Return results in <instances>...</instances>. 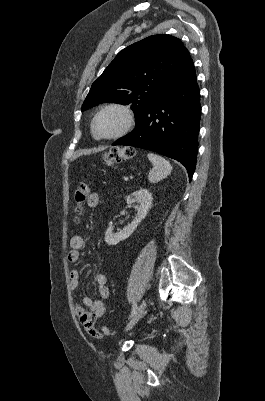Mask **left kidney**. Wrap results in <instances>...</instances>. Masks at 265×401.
<instances>
[{
	"label": "left kidney",
	"mask_w": 265,
	"mask_h": 401,
	"mask_svg": "<svg viewBox=\"0 0 265 401\" xmlns=\"http://www.w3.org/2000/svg\"><path fill=\"white\" fill-rule=\"evenodd\" d=\"M132 203H138V205H135L134 207L137 211L136 219H133L130 225L124 227L123 231H119V233H113V223L110 221L105 233V241L107 245H117V243L125 241V239H128V237L132 235L142 219H145L148 209H150L152 205V192H149L147 188H140V190L131 192V194L127 196V205H132Z\"/></svg>",
	"instance_id": "1"
}]
</instances>
